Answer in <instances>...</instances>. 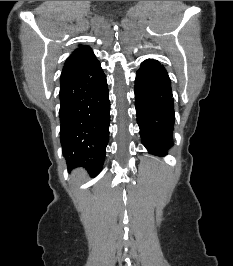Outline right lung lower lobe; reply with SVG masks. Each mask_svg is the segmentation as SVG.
Here are the masks:
<instances>
[{"mask_svg": "<svg viewBox=\"0 0 233 266\" xmlns=\"http://www.w3.org/2000/svg\"><path fill=\"white\" fill-rule=\"evenodd\" d=\"M60 140L70 169L93 177L102 169L109 139L110 101L106 76L95 56L60 78Z\"/></svg>", "mask_w": 233, "mask_h": 266, "instance_id": "right-lung-lower-lobe-1", "label": "right lung lower lobe"}]
</instances>
